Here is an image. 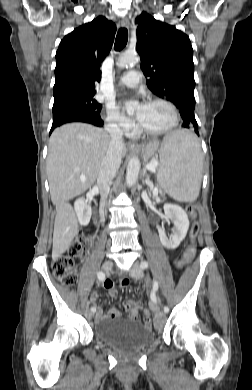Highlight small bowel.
Instances as JSON below:
<instances>
[{
    "mask_svg": "<svg viewBox=\"0 0 252 390\" xmlns=\"http://www.w3.org/2000/svg\"><path fill=\"white\" fill-rule=\"evenodd\" d=\"M122 282H126L128 284L127 279L121 280V288H122ZM104 286L108 289L109 295L111 298H116L118 295V291L114 288L113 283L109 280L104 282ZM99 293L94 292L90 296V302L93 304H96L97 300L99 299ZM139 308H142L138 304H130V303H125L124 304V309L126 312L129 313V317L132 321L140 323L141 319L139 317L138 310ZM121 316V312L118 309L112 308L108 310L106 313L103 312V310L99 307L96 306V320L101 321L104 319H116Z\"/></svg>",
    "mask_w": 252,
    "mask_h": 390,
    "instance_id": "obj_1",
    "label": "small bowel"
}]
</instances>
